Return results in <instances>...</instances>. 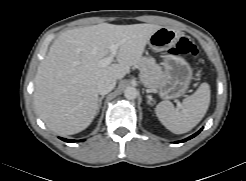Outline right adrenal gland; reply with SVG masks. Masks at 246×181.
<instances>
[{"label":"right adrenal gland","instance_id":"1","mask_svg":"<svg viewBox=\"0 0 246 181\" xmlns=\"http://www.w3.org/2000/svg\"><path fill=\"white\" fill-rule=\"evenodd\" d=\"M104 95H102L99 100H98V108H97V113H99V110L101 108V105H102V100L104 99Z\"/></svg>","mask_w":246,"mask_h":181}]
</instances>
